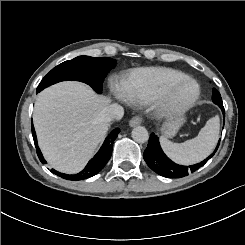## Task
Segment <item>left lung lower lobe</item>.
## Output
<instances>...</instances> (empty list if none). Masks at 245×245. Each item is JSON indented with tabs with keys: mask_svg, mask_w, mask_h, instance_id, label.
<instances>
[{
	"mask_svg": "<svg viewBox=\"0 0 245 245\" xmlns=\"http://www.w3.org/2000/svg\"><path fill=\"white\" fill-rule=\"evenodd\" d=\"M212 99L213 102L221 108L223 115L225 116L224 107L222 106V98L220 93L216 89H213ZM219 143L220 141L218 142L214 153L217 151ZM214 153H212L209 157L198 164L191 166L178 165L171 161L164 154L160 147L157 136L152 133L150 135L148 146L144 151L143 157L147 165L157 174L168 178H182L188 176L190 173H193L194 171L202 167L214 155Z\"/></svg>",
	"mask_w": 245,
	"mask_h": 245,
	"instance_id": "0a47b994",
	"label": "left lung lower lobe"
}]
</instances>
